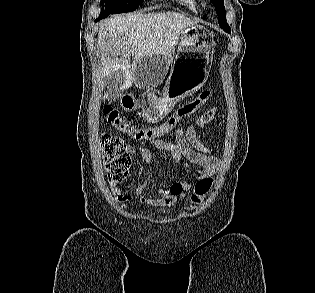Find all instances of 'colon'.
<instances>
[{
	"mask_svg": "<svg viewBox=\"0 0 315 293\" xmlns=\"http://www.w3.org/2000/svg\"><path fill=\"white\" fill-rule=\"evenodd\" d=\"M212 96L211 90L202 91L196 98L180 106L163 124L156 127H135L112 107L104 109L106 121L113 127L126 133L134 140H151L159 138L176 128L186 117L196 112ZM102 154L109 181L119 184L125 180L131 157L123 140L114 135H104L101 139ZM213 180H199L194 188L191 201L200 204L212 188Z\"/></svg>",
	"mask_w": 315,
	"mask_h": 293,
	"instance_id": "obj_1",
	"label": "colon"
}]
</instances>
